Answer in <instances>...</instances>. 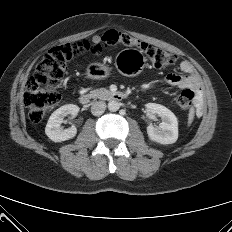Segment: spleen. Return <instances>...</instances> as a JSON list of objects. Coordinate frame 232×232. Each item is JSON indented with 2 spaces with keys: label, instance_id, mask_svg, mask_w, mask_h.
<instances>
[{
  "label": "spleen",
  "instance_id": "1",
  "mask_svg": "<svg viewBox=\"0 0 232 232\" xmlns=\"http://www.w3.org/2000/svg\"><path fill=\"white\" fill-rule=\"evenodd\" d=\"M193 119H194V110L191 109L188 116V125L192 123Z\"/></svg>",
  "mask_w": 232,
  "mask_h": 232
}]
</instances>
